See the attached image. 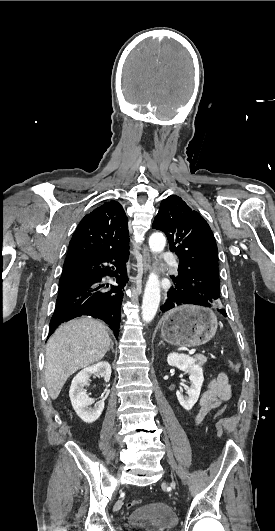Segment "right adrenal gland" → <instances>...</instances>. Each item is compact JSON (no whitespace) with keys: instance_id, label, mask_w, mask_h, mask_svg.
<instances>
[{"instance_id":"2a0ac1e0","label":"right adrenal gland","mask_w":275,"mask_h":531,"mask_svg":"<svg viewBox=\"0 0 275 531\" xmlns=\"http://www.w3.org/2000/svg\"><path fill=\"white\" fill-rule=\"evenodd\" d=\"M113 345H114V343H113V341H111V345H110L108 351H110V349H111L112 353H115V351L113 349Z\"/></svg>"}]
</instances>
